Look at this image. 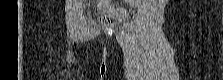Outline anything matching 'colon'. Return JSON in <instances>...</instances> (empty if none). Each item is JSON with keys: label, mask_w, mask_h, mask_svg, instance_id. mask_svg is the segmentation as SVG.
I'll return each mask as SVG.
<instances>
[{"label": "colon", "mask_w": 223, "mask_h": 80, "mask_svg": "<svg viewBox=\"0 0 223 80\" xmlns=\"http://www.w3.org/2000/svg\"><path fill=\"white\" fill-rule=\"evenodd\" d=\"M100 21L103 25H113L117 21V17L113 13H106L100 17Z\"/></svg>", "instance_id": "1"}]
</instances>
